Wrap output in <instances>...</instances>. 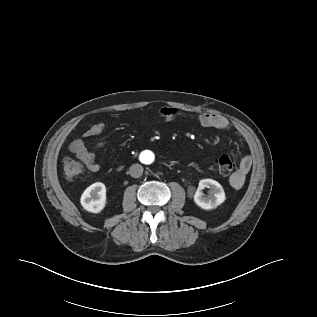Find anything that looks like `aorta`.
Here are the masks:
<instances>
[{
    "label": "aorta",
    "mask_w": 317,
    "mask_h": 317,
    "mask_svg": "<svg viewBox=\"0 0 317 317\" xmlns=\"http://www.w3.org/2000/svg\"><path fill=\"white\" fill-rule=\"evenodd\" d=\"M140 159L144 164L152 165L155 162V155L151 151H146L141 154Z\"/></svg>",
    "instance_id": "1"
}]
</instances>
